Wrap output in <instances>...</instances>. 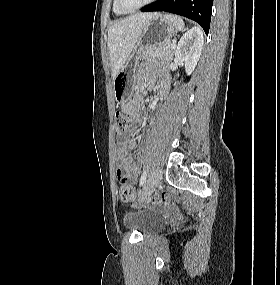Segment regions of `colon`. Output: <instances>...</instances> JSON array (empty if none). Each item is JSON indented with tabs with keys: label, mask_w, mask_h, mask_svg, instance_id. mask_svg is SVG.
Wrapping results in <instances>:
<instances>
[{
	"label": "colon",
	"mask_w": 280,
	"mask_h": 285,
	"mask_svg": "<svg viewBox=\"0 0 280 285\" xmlns=\"http://www.w3.org/2000/svg\"><path fill=\"white\" fill-rule=\"evenodd\" d=\"M133 116L123 109H117L115 112V131L118 135H122L133 124ZM119 194L121 200L125 202L133 201L135 193L133 187L126 181H122L119 186ZM169 200L167 195H158L152 198V201L158 204L167 203Z\"/></svg>",
	"instance_id": "5ec220e1"
}]
</instances>
